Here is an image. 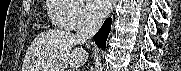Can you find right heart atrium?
<instances>
[{
    "instance_id": "d8ad5b80",
    "label": "right heart atrium",
    "mask_w": 181,
    "mask_h": 71,
    "mask_svg": "<svg viewBox=\"0 0 181 71\" xmlns=\"http://www.w3.org/2000/svg\"><path fill=\"white\" fill-rule=\"evenodd\" d=\"M63 6L61 22L64 28L75 30L95 25L97 17L83 0H53Z\"/></svg>"
}]
</instances>
